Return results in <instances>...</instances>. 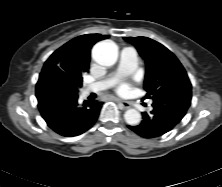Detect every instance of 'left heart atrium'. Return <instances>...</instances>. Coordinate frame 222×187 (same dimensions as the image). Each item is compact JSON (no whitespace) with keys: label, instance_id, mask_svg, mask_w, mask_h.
Here are the masks:
<instances>
[{"label":"left heart atrium","instance_id":"left-heart-atrium-1","mask_svg":"<svg viewBox=\"0 0 222 187\" xmlns=\"http://www.w3.org/2000/svg\"><path fill=\"white\" fill-rule=\"evenodd\" d=\"M130 84L122 83L117 87V93L120 95H127L130 92Z\"/></svg>","mask_w":222,"mask_h":187}]
</instances>
